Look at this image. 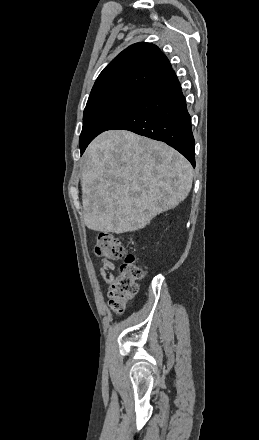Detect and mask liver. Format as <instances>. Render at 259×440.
Segmentation results:
<instances>
[{
    "label": "liver",
    "instance_id": "liver-1",
    "mask_svg": "<svg viewBox=\"0 0 259 440\" xmlns=\"http://www.w3.org/2000/svg\"><path fill=\"white\" fill-rule=\"evenodd\" d=\"M192 181L189 161L165 143L130 131H105L84 154L85 225L116 234L142 229L184 201Z\"/></svg>",
    "mask_w": 259,
    "mask_h": 440
}]
</instances>
